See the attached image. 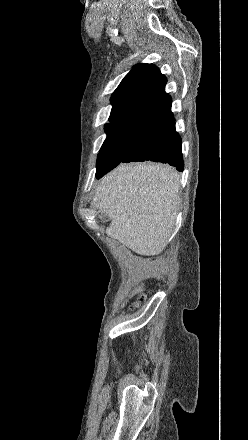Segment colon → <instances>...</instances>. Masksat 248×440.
Listing matches in <instances>:
<instances>
[{"label":"colon","mask_w":248,"mask_h":440,"mask_svg":"<svg viewBox=\"0 0 248 440\" xmlns=\"http://www.w3.org/2000/svg\"><path fill=\"white\" fill-rule=\"evenodd\" d=\"M144 299H145L144 296H141V297L139 298V303L143 302Z\"/></svg>","instance_id":"1"}]
</instances>
